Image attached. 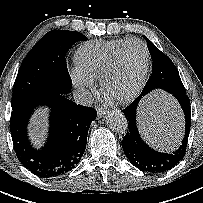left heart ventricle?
Wrapping results in <instances>:
<instances>
[{"label":"left heart ventricle","instance_id":"left-heart-ventricle-1","mask_svg":"<svg viewBox=\"0 0 203 203\" xmlns=\"http://www.w3.org/2000/svg\"><path fill=\"white\" fill-rule=\"evenodd\" d=\"M145 63V53L139 43L129 44L121 55L119 65L110 82L114 97L128 94L140 77Z\"/></svg>","mask_w":203,"mask_h":203}]
</instances>
